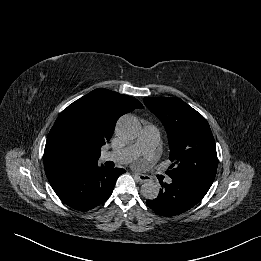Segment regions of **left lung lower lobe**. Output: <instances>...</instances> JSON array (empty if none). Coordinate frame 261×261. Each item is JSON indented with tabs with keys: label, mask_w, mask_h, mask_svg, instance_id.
I'll list each match as a JSON object with an SVG mask.
<instances>
[{
	"label": "left lung lower lobe",
	"mask_w": 261,
	"mask_h": 261,
	"mask_svg": "<svg viewBox=\"0 0 261 261\" xmlns=\"http://www.w3.org/2000/svg\"><path fill=\"white\" fill-rule=\"evenodd\" d=\"M172 183H161L157 198L146 204L158 215L175 216L195 206L206 195L213 181L196 176L171 177Z\"/></svg>",
	"instance_id": "left-lung-lower-lobe-1"
}]
</instances>
